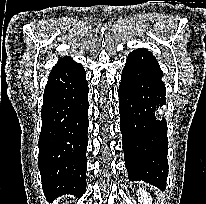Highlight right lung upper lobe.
Masks as SVG:
<instances>
[{
  "instance_id": "right-lung-upper-lobe-1",
  "label": "right lung upper lobe",
  "mask_w": 206,
  "mask_h": 204,
  "mask_svg": "<svg viewBox=\"0 0 206 204\" xmlns=\"http://www.w3.org/2000/svg\"><path fill=\"white\" fill-rule=\"evenodd\" d=\"M72 62V59L70 57H64V58H61L58 63L53 67L52 70H55L57 68H60L68 63Z\"/></svg>"
}]
</instances>
